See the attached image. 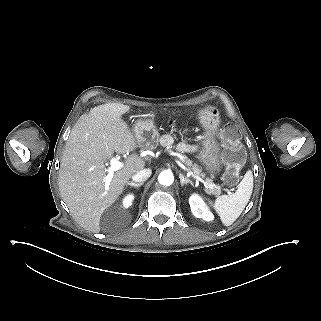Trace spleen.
I'll list each match as a JSON object with an SVG mask.
<instances>
[{
	"label": "spleen",
	"instance_id": "spleen-1",
	"mask_svg": "<svg viewBox=\"0 0 321 321\" xmlns=\"http://www.w3.org/2000/svg\"><path fill=\"white\" fill-rule=\"evenodd\" d=\"M253 190V174L249 170L233 195L219 196L213 205L225 226L232 225L248 204Z\"/></svg>",
	"mask_w": 321,
	"mask_h": 321
}]
</instances>
